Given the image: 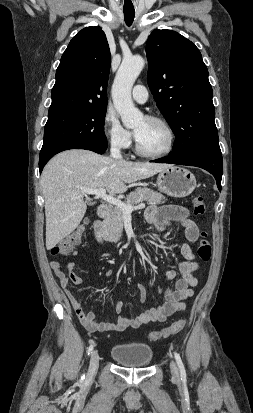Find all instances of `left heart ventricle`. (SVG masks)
Returning a JSON list of instances; mask_svg holds the SVG:
<instances>
[{"label": "left heart ventricle", "instance_id": "1", "mask_svg": "<svg viewBox=\"0 0 253 413\" xmlns=\"http://www.w3.org/2000/svg\"><path fill=\"white\" fill-rule=\"evenodd\" d=\"M134 131L140 147L145 151L158 152L167 146L168 134L155 122L141 119L135 124Z\"/></svg>", "mask_w": 253, "mask_h": 413}]
</instances>
